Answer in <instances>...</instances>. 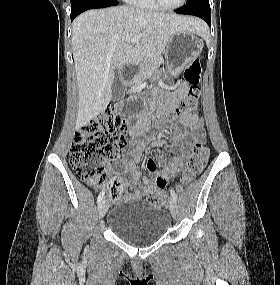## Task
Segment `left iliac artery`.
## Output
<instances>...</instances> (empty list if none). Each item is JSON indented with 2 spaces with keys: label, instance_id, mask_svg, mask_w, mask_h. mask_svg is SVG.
<instances>
[{
  "label": "left iliac artery",
  "instance_id": "44dca946",
  "mask_svg": "<svg viewBox=\"0 0 280 285\" xmlns=\"http://www.w3.org/2000/svg\"><path fill=\"white\" fill-rule=\"evenodd\" d=\"M170 192H171V196H172L173 200L177 201V194L175 193V191L173 189H171Z\"/></svg>",
  "mask_w": 280,
  "mask_h": 285
}]
</instances>
